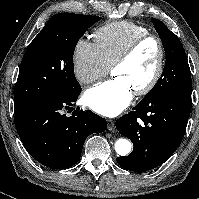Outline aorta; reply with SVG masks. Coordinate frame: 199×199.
I'll list each match as a JSON object with an SVG mask.
<instances>
[{
  "mask_svg": "<svg viewBox=\"0 0 199 199\" xmlns=\"http://www.w3.org/2000/svg\"><path fill=\"white\" fill-rule=\"evenodd\" d=\"M131 148L132 145L127 139L120 138L115 142V150L120 156H126L130 153Z\"/></svg>",
  "mask_w": 199,
  "mask_h": 199,
  "instance_id": "obj_1",
  "label": "aorta"
}]
</instances>
